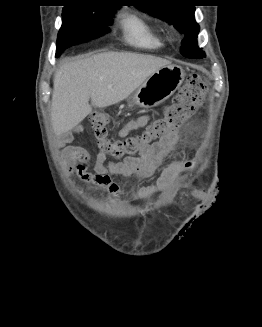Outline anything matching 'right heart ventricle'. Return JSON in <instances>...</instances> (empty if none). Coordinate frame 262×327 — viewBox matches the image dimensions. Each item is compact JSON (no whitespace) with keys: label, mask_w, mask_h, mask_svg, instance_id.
Here are the masks:
<instances>
[{"label":"right heart ventricle","mask_w":262,"mask_h":327,"mask_svg":"<svg viewBox=\"0 0 262 327\" xmlns=\"http://www.w3.org/2000/svg\"><path fill=\"white\" fill-rule=\"evenodd\" d=\"M120 30L123 41L136 48L158 50L166 43L161 30L136 14L122 17Z\"/></svg>","instance_id":"right-heart-ventricle-1"}]
</instances>
